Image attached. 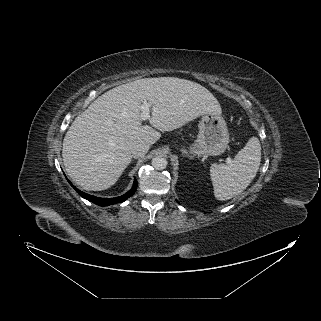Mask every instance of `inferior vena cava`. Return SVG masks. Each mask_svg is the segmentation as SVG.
I'll return each mask as SVG.
<instances>
[{
  "instance_id": "602c4592",
  "label": "inferior vena cava",
  "mask_w": 321,
  "mask_h": 321,
  "mask_svg": "<svg viewBox=\"0 0 321 321\" xmlns=\"http://www.w3.org/2000/svg\"><path fill=\"white\" fill-rule=\"evenodd\" d=\"M149 150V145L145 143H137L131 147V154L134 158L144 156Z\"/></svg>"
}]
</instances>
